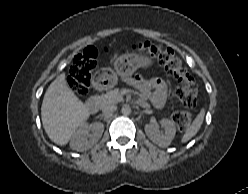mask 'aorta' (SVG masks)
Wrapping results in <instances>:
<instances>
[{"mask_svg":"<svg viewBox=\"0 0 248 194\" xmlns=\"http://www.w3.org/2000/svg\"><path fill=\"white\" fill-rule=\"evenodd\" d=\"M123 115H129L131 113V108L128 105H124L121 109Z\"/></svg>","mask_w":248,"mask_h":194,"instance_id":"aorta-1","label":"aorta"}]
</instances>
